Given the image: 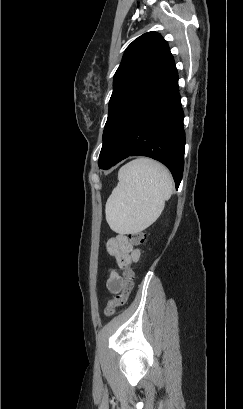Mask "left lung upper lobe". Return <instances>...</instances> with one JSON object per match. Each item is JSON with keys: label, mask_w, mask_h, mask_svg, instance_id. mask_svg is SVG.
<instances>
[{"label": "left lung upper lobe", "mask_w": 243, "mask_h": 409, "mask_svg": "<svg viewBox=\"0 0 243 409\" xmlns=\"http://www.w3.org/2000/svg\"><path fill=\"white\" fill-rule=\"evenodd\" d=\"M171 57L167 42L154 31L141 35L125 50L114 75L99 166H105L114 159L117 127L121 119L150 79Z\"/></svg>", "instance_id": "obj_1"}]
</instances>
